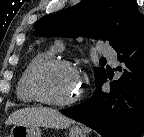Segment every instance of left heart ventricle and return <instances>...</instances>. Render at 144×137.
I'll list each match as a JSON object with an SVG mask.
<instances>
[{"label": "left heart ventricle", "instance_id": "1", "mask_svg": "<svg viewBox=\"0 0 144 137\" xmlns=\"http://www.w3.org/2000/svg\"><path fill=\"white\" fill-rule=\"evenodd\" d=\"M39 85L48 98L65 101L77 94L80 81L74 71L64 67H57L42 73Z\"/></svg>", "mask_w": 144, "mask_h": 137}]
</instances>
